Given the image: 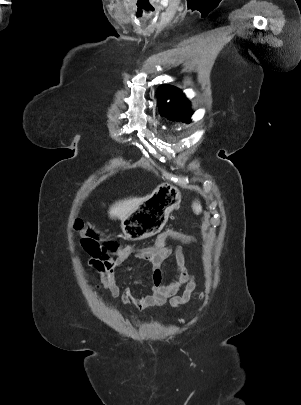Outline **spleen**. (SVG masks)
Masks as SVG:
<instances>
[{"label": "spleen", "instance_id": "spleen-1", "mask_svg": "<svg viewBox=\"0 0 301 405\" xmlns=\"http://www.w3.org/2000/svg\"><path fill=\"white\" fill-rule=\"evenodd\" d=\"M193 210L196 214H199L202 211V207L199 202L193 203Z\"/></svg>", "mask_w": 301, "mask_h": 405}]
</instances>
